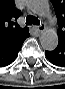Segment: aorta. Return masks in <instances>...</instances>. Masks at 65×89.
<instances>
[{
	"label": "aorta",
	"instance_id": "obj_1",
	"mask_svg": "<svg viewBox=\"0 0 65 89\" xmlns=\"http://www.w3.org/2000/svg\"><path fill=\"white\" fill-rule=\"evenodd\" d=\"M29 8L32 12L40 17L50 19L51 8L46 0H34L30 3ZM40 44L44 50L53 51L58 46V35L54 28L45 29L40 36Z\"/></svg>",
	"mask_w": 65,
	"mask_h": 89
}]
</instances>
